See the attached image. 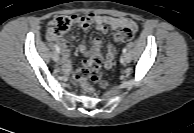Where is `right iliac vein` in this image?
<instances>
[{
	"instance_id": "63e3f726",
	"label": "right iliac vein",
	"mask_w": 194,
	"mask_h": 133,
	"mask_svg": "<svg viewBox=\"0 0 194 133\" xmlns=\"http://www.w3.org/2000/svg\"><path fill=\"white\" fill-rule=\"evenodd\" d=\"M52 58L55 62H59V55L57 53H53Z\"/></svg>"
}]
</instances>
